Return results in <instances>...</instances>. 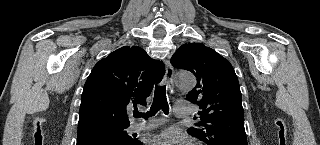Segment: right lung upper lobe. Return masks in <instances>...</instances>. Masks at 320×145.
<instances>
[{
    "mask_svg": "<svg viewBox=\"0 0 320 145\" xmlns=\"http://www.w3.org/2000/svg\"><path fill=\"white\" fill-rule=\"evenodd\" d=\"M164 72L163 62L138 46L121 47L100 60L84 85L78 134L128 127L126 110L146 105L147 95Z\"/></svg>",
    "mask_w": 320,
    "mask_h": 145,
    "instance_id": "cb5924a9",
    "label": "right lung upper lobe"
}]
</instances>
